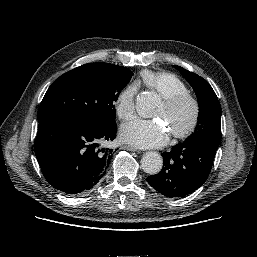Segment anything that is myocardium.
Segmentation results:
<instances>
[{
  "label": "myocardium",
  "mask_w": 257,
  "mask_h": 257,
  "mask_svg": "<svg viewBox=\"0 0 257 257\" xmlns=\"http://www.w3.org/2000/svg\"><path fill=\"white\" fill-rule=\"evenodd\" d=\"M185 102H189L192 105L193 113L190 121L181 130L172 134L176 139L187 137L197 126L201 114L200 102L196 96L188 91L165 97L162 100V103L167 110H174Z\"/></svg>",
  "instance_id": "myocardium-1"
}]
</instances>
